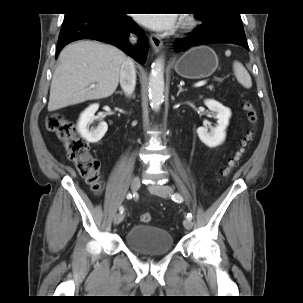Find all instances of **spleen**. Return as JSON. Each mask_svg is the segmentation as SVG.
Masks as SVG:
<instances>
[{
	"label": "spleen",
	"instance_id": "3e777b00",
	"mask_svg": "<svg viewBox=\"0 0 303 303\" xmlns=\"http://www.w3.org/2000/svg\"><path fill=\"white\" fill-rule=\"evenodd\" d=\"M233 70L236 76L237 81L244 86L245 88L249 89L252 86V80L250 74L246 70V68L238 61L233 63Z\"/></svg>",
	"mask_w": 303,
	"mask_h": 303
}]
</instances>
